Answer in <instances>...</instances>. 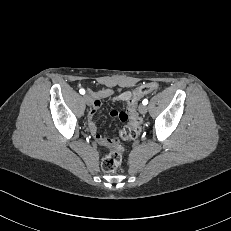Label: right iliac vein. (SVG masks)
<instances>
[{
	"mask_svg": "<svg viewBox=\"0 0 231 231\" xmlns=\"http://www.w3.org/2000/svg\"><path fill=\"white\" fill-rule=\"evenodd\" d=\"M83 97L88 106H91L93 104V99L90 94L87 93Z\"/></svg>",
	"mask_w": 231,
	"mask_h": 231,
	"instance_id": "63e3f726",
	"label": "right iliac vein"
}]
</instances>
